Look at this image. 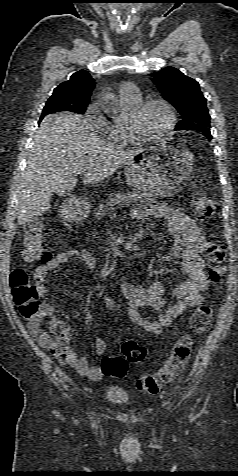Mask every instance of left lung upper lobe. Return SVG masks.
<instances>
[{
	"label": "left lung upper lobe",
	"mask_w": 238,
	"mask_h": 476,
	"mask_svg": "<svg viewBox=\"0 0 238 476\" xmlns=\"http://www.w3.org/2000/svg\"><path fill=\"white\" fill-rule=\"evenodd\" d=\"M162 97L181 114L175 130H210V115L199 83L174 67L150 74Z\"/></svg>",
	"instance_id": "5c2ea615"
}]
</instances>
